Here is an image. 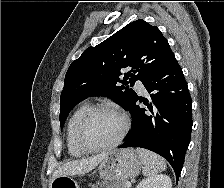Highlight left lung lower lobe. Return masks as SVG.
Here are the masks:
<instances>
[{
	"label": "left lung lower lobe",
	"instance_id": "0a47b994",
	"mask_svg": "<svg viewBox=\"0 0 224 188\" xmlns=\"http://www.w3.org/2000/svg\"><path fill=\"white\" fill-rule=\"evenodd\" d=\"M150 94L141 109L136 97L130 108L132 129L119 148L142 147L163 156L179 179L192 131V102L175 56L143 82Z\"/></svg>",
	"mask_w": 224,
	"mask_h": 188
}]
</instances>
